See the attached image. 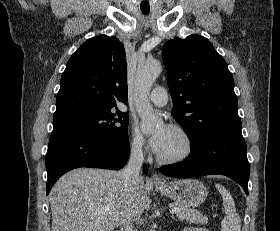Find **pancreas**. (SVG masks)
<instances>
[{
	"mask_svg": "<svg viewBox=\"0 0 280 231\" xmlns=\"http://www.w3.org/2000/svg\"><path fill=\"white\" fill-rule=\"evenodd\" d=\"M170 207H177V211L175 213L178 219H186L189 223H208L207 215L201 213V211H197V209H191V207H185V205H181V203H170Z\"/></svg>",
	"mask_w": 280,
	"mask_h": 231,
	"instance_id": "1",
	"label": "pancreas"
}]
</instances>
